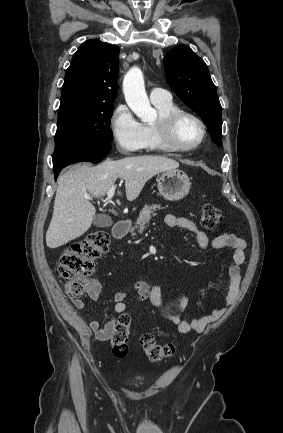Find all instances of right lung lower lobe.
I'll list each match as a JSON object with an SVG mask.
<instances>
[{"mask_svg":"<svg viewBox=\"0 0 283 433\" xmlns=\"http://www.w3.org/2000/svg\"><path fill=\"white\" fill-rule=\"evenodd\" d=\"M111 147V145L95 146L71 141L55 143V150L53 153L55 180L64 167L74 162L86 161L98 163L109 153Z\"/></svg>","mask_w":283,"mask_h":433,"instance_id":"obj_1","label":"right lung lower lobe"}]
</instances>
